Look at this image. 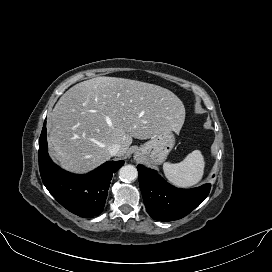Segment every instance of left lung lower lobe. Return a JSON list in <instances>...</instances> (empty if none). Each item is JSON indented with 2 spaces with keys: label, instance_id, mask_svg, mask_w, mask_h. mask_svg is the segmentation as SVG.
Returning a JSON list of instances; mask_svg holds the SVG:
<instances>
[{
  "label": "left lung lower lobe",
  "instance_id": "1",
  "mask_svg": "<svg viewBox=\"0 0 272 272\" xmlns=\"http://www.w3.org/2000/svg\"><path fill=\"white\" fill-rule=\"evenodd\" d=\"M139 185L149 215L158 221L181 219L194 210L209 194L210 184L193 189H178L156 171L137 166Z\"/></svg>",
  "mask_w": 272,
  "mask_h": 272
}]
</instances>
